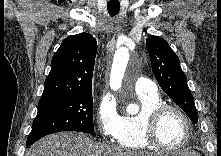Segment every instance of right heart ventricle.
Segmentation results:
<instances>
[{"label":"right heart ventricle","mask_w":221,"mask_h":156,"mask_svg":"<svg viewBox=\"0 0 221 156\" xmlns=\"http://www.w3.org/2000/svg\"><path fill=\"white\" fill-rule=\"evenodd\" d=\"M137 98L141 109L137 114H126L120 117L116 141L120 146L129 149H150L151 146L146 142L143 135L144 120L149 111L162 104L163 100L157 92L153 94L137 93Z\"/></svg>","instance_id":"1"}]
</instances>
